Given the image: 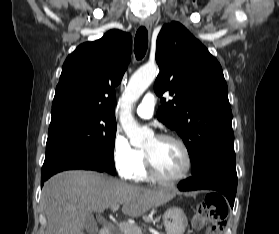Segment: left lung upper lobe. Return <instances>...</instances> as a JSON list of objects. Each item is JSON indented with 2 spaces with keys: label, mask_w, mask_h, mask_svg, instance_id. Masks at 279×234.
<instances>
[{
  "label": "left lung upper lobe",
  "mask_w": 279,
  "mask_h": 234,
  "mask_svg": "<svg viewBox=\"0 0 279 234\" xmlns=\"http://www.w3.org/2000/svg\"><path fill=\"white\" fill-rule=\"evenodd\" d=\"M160 73L154 90H169L157 118L176 130L187 147L192 174L220 158H234V133L222 67L183 25L162 27L156 42Z\"/></svg>",
  "instance_id": "1"
}]
</instances>
